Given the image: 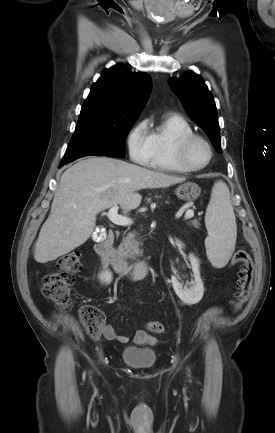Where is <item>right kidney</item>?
I'll list each match as a JSON object with an SVG mask.
<instances>
[{
    "instance_id": "right-kidney-1",
    "label": "right kidney",
    "mask_w": 275,
    "mask_h": 433,
    "mask_svg": "<svg viewBox=\"0 0 275 433\" xmlns=\"http://www.w3.org/2000/svg\"><path fill=\"white\" fill-rule=\"evenodd\" d=\"M99 278L103 282L110 283L112 279V273L109 272L108 270L102 271L101 274L99 275Z\"/></svg>"
}]
</instances>
